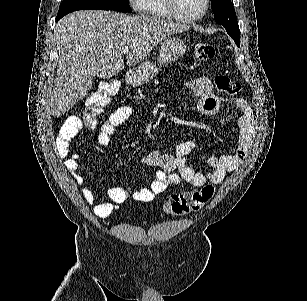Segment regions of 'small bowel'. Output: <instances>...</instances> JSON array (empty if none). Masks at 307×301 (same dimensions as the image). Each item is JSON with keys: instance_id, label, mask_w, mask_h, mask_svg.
<instances>
[{"instance_id": "obj_1", "label": "small bowel", "mask_w": 307, "mask_h": 301, "mask_svg": "<svg viewBox=\"0 0 307 301\" xmlns=\"http://www.w3.org/2000/svg\"><path fill=\"white\" fill-rule=\"evenodd\" d=\"M187 88L199 98L197 108L202 114L214 115L224 102L238 109V133L231 153L218 157L201 155V160L210 168L207 174H203L194 171L187 165V157L198 149V144L194 140L179 143L174 154L151 151L144 157L143 163L158 167L159 170L148 188H142L132 193L127 187H111L107 191L108 200L104 202L97 201L92 189L82 188V196L87 203L92 205L96 217L107 218L117 209L118 204L131 197L137 201L149 202L165 191L169 185L189 184L200 187L207 181L219 183L229 172L237 169L242 163L254 131L253 112L250 104L241 97H231L224 100L215 95L210 80L204 76L190 80L187 83ZM131 113L132 108L129 106L115 109L99 129V144L108 146L111 136L128 120ZM81 128L82 123L79 116H70L60 128L56 141L58 156L64 159V166L79 185L84 183L83 176L78 172L79 155L71 150L70 144Z\"/></svg>"}]
</instances>
